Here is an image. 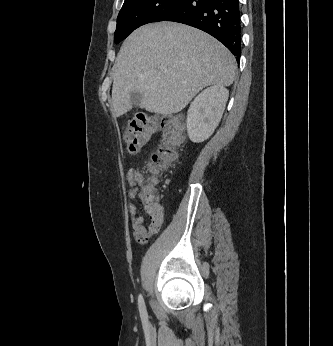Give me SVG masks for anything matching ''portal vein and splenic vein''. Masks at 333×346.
I'll return each instance as SVG.
<instances>
[{
	"label": "portal vein and splenic vein",
	"instance_id": "obj_1",
	"mask_svg": "<svg viewBox=\"0 0 333 346\" xmlns=\"http://www.w3.org/2000/svg\"><path fill=\"white\" fill-rule=\"evenodd\" d=\"M161 71H162L163 73H166V72H167V69H166V68H161Z\"/></svg>",
	"mask_w": 333,
	"mask_h": 346
}]
</instances>
